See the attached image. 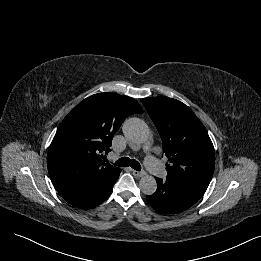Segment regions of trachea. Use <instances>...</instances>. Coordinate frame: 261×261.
<instances>
[{"label": "trachea", "instance_id": "trachea-1", "mask_svg": "<svg viewBox=\"0 0 261 261\" xmlns=\"http://www.w3.org/2000/svg\"><path fill=\"white\" fill-rule=\"evenodd\" d=\"M114 165L120 166V167L130 166L134 170H137V171L141 170L140 163L138 161H136L135 159H130L129 157H122V158L118 159L114 163Z\"/></svg>", "mask_w": 261, "mask_h": 261}]
</instances>
